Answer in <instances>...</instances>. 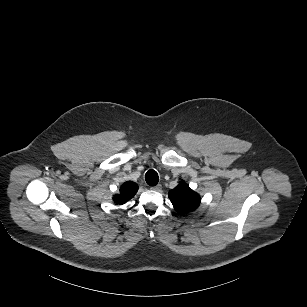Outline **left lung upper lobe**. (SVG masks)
Returning a JSON list of instances; mask_svg holds the SVG:
<instances>
[{"label": "left lung upper lobe", "instance_id": "obj_1", "mask_svg": "<svg viewBox=\"0 0 307 307\" xmlns=\"http://www.w3.org/2000/svg\"><path fill=\"white\" fill-rule=\"evenodd\" d=\"M175 210L181 214L194 211L200 204V196L186 183L180 182L168 194Z\"/></svg>", "mask_w": 307, "mask_h": 307}]
</instances>
